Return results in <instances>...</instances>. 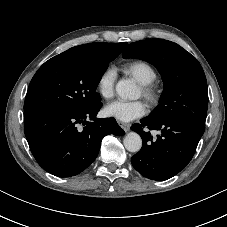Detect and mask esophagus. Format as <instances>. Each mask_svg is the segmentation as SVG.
<instances>
[{
	"label": "esophagus",
	"mask_w": 227,
	"mask_h": 227,
	"mask_svg": "<svg viewBox=\"0 0 227 227\" xmlns=\"http://www.w3.org/2000/svg\"><path fill=\"white\" fill-rule=\"evenodd\" d=\"M118 124L121 126V128L127 132L130 130V125L121 121H118Z\"/></svg>",
	"instance_id": "1"
}]
</instances>
